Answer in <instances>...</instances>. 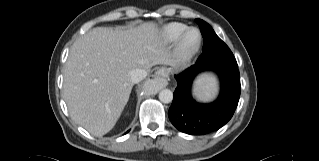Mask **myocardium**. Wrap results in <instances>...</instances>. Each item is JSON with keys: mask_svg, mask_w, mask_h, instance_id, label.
<instances>
[{"mask_svg": "<svg viewBox=\"0 0 319 161\" xmlns=\"http://www.w3.org/2000/svg\"><path fill=\"white\" fill-rule=\"evenodd\" d=\"M192 32H195L197 34V39L193 45L189 46L187 44V37ZM201 43H202V35L199 29L197 28L186 29L177 39V44L175 48L176 59L183 64L190 61L198 52L201 46Z\"/></svg>", "mask_w": 319, "mask_h": 161, "instance_id": "myocardium-1", "label": "myocardium"}]
</instances>
